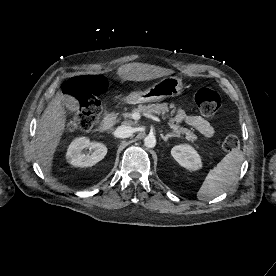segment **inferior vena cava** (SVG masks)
I'll return each instance as SVG.
<instances>
[{"mask_svg": "<svg viewBox=\"0 0 276 276\" xmlns=\"http://www.w3.org/2000/svg\"><path fill=\"white\" fill-rule=\"evenodd\" d=\"M133 132L134 130L131 126L121 125L116 129L115 135L118 138H128L133 134Z\"/></svg>", "mask_w": 276, "mask_h": 276, "instance_id": "obj_1", "label": "inferior vena cava"}]
</instances>
